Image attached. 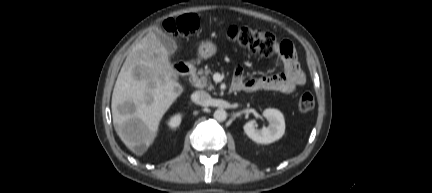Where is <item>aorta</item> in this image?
I'll use <instances>...</instances> for the list:
<instances>
[{
	"label": "aorta",
	"instance_id": "762f6f07",
	"mask_svg": "<svg viewBox=\"0 0 432 193\" xmlns=\"http://www.w3.org/2000/svg\"><path fill=\"white\" fill-rule=\"evenodd\" d=\"M213 117L219 122L225 121L227 118V112L224 109H217L214 112Z\"/></svg>",
	"mask_w": 432,
	"mask_h": 193
}]
</instances>
